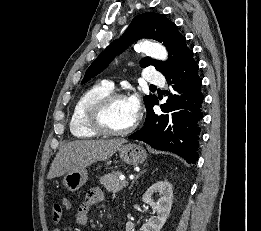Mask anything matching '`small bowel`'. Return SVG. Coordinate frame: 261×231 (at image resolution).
Masks as SVG:
<instances>
[{
  "label": "small bowel",
  "instance_id": "small-bowel-1",
  "mask_svg": "<svg viewBox=\"0 0 261 231\" xmlns=\"http://www.w3.org/2000/svg\"><path fill=\"white\" fill-rule=\"evenodd\" d=\"M106 202V197L100 189H91L86 195L84 201L77 209L74 217V222L77 226H84L88 223V214L92 205ZM63 206L54 205L53 221L57 224L53 231H63L64 219L62 216Z\"/></svg>",
  "mask_w": 261,
  "mask_h": 231
}]
</instances>
